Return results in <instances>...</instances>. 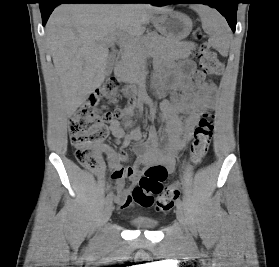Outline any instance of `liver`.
<instances>
[{
	"label": "liver",
	"instance_id": "obj_1",
	"mask_svg": "<svg viewBox=\"0 0 279 267\" xmlns=\"http://www.w3.org/2000/svg\"><path fill=\"white\" fill-rule=\"evenodd\" d=\"M165 7L132 4H63L51 14L46 39L59 76L68 116L105 79L109 50L104 40L117 32L141 36Z\"/></svg>",
	"mask_w": 279,
	"mask_h": 267
}]
</instances>
